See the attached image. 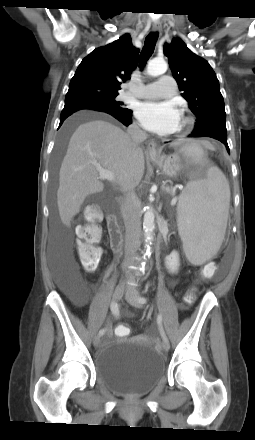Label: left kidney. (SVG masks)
Wrapping results in <instances>:
<instances>
[{"label":"left kidney","instance_id":"left-kidney-1","mask_svg":"<svg viewBox=\"0 0 255 440\" xmlns=\"http://www.w3.org/2000/svg\"><path fill=\"white\" fill-rule=\"evenodd\" d=\"M167 268L171 273H174L178 270L179 267V254L176 251H173L170 255H168L165 259Z\"/></svg>","mask_w":255,"mask_h":440}]
</instances>
